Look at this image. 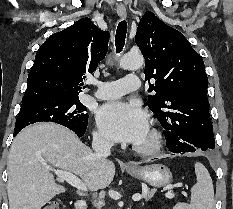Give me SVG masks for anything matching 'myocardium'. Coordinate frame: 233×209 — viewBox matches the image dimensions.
<instances>
[{
	"mask_svg": "<svg viewBox=\"0 0 233 209\" xmlns=\"http://www.w3.org/2000/svg\"><path fill=\"white\" fill-rule=\"evenodd\" d=\"M148 130L149 140L144 144L133 145V150L142 155H151L157 153L163 144L162 133L154 124H151Z\"/></svg>",
	"mask_w": 233,
	"mask_h": 209,
	"instance_id": "obj_1",
	"label": "myocardium"
}]
</instances>
